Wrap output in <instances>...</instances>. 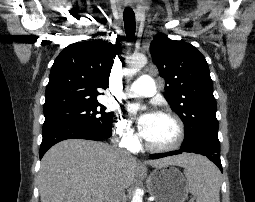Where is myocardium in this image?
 I'll list each match as a JSON object with an SVG mask.
<instances>
[{"instance_id": "1", "label": "myocardium", "mask_w": 255, "mask_h": 202, "mask_svg": "<svg viewBox=\"0 0 255 202\" xmlns=\"http://www.w3.org/2000/svg\"><path fill=\"white\" fill-rule=\"evenodd\" d=\"M157 114L166 116L173 120L177 128L176 139L168 145H154L150 143L149 141H147L144 136H142L144 146L148 150L153 152H169V151L178 149L182 145L185 139V126L182 119L175 112L171 110H161Z\"/></svg>"}]
</instances>
